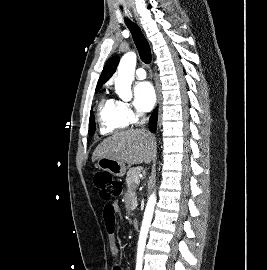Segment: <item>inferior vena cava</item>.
Segmentation results:
<instances>
[{"mask_svg":"<svg viewBox=\"0 0 267 270\" xmlns=\"http://www.w3.org/2000/svg\"><path fill=\"white\" fill-rule=\"evenodd\" d=\"M145 123V120L142 122V124H144Z\"/></svg>","mask_w":267,"mask_h":270,"instance_id":"inferior-vena-cava-1","label":"inferior vena cava"}]
</instances>
